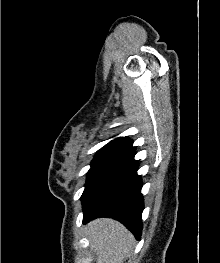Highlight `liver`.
I'll return each mask as SVG.
<instances>
[{
	"instance_id": "6515ba94",
	"label": "liver",
	"mask_w": 220,
	"mask_h": 263,
	"mask_svg": "<svg viewBox=\"0 0 220 263\" xmlns=\"http://www.w3.org/2000/svg\"><path fill=\"white\" fill-rule=\"evenodd\" d=\"M88 238L96 263H124L134 245L133 235L121 223L109 218L90 222Z\"/></svg>"
}]
</instances>
